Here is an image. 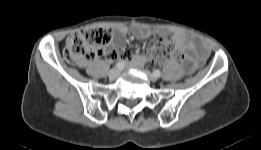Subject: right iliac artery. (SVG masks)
I'll return each mask as SVG.
<instances>
[{
  "label": "right iliac artery",
  "instance_id": "82829eb1",
  "mask_svg": "<svg viewBox=\"0 0 261 150\" xmlns=\"http://www.w3.org/2000/svg\"><path fill=\"white\" fill-rule=\"evenodd\" d=\"M124 66H125V62H123V61L118 62V63L116 64V67L119 68V69L124 68Z\"/></svg>",
  "mask_w": 261,
  "mask_h": 150
}]
</instances>
